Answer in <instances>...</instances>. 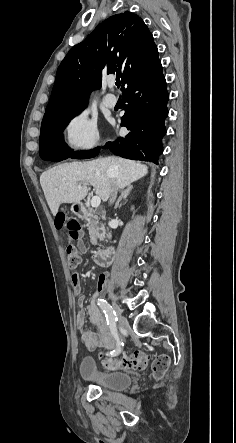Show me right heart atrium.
<instances>
[{
	"mask_svg": "<svg viewBox=\"0 0 236 443\" xmlns=\"http://www.w3.org/2000/svg\"><path fill=\"white\" fill-rule=\"evenodd\" d=\"M65 147L74 153H88L99 144V131L96 120L86 110L72 115L63 129Z\"/></svg>",
	"mask_w": 236,
	"mask_h": 443,
	"instance_id": "right-heart-atrium-1",
	"label": "right heart atrium"
}]
</instances>
